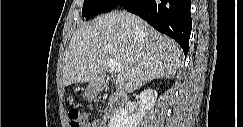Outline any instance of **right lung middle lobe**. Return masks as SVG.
<instances>
[{
	"mask_svg": "<svg viewBox=\"0 0 243 127\" xmlns=\"http://www.w3.org/2000/svg\"><path fill=\"white\" fill-rule=\"evenodd\" d=\"M120 0H84L82 16L89 19L99 13L115 8Z\"/></svg>",
	"mask_w": 243,
	"mask_h": 127,
	"instance_id": "dd1d6c3e",
	"label": "right lung middle lobe"
}]
</instances>
